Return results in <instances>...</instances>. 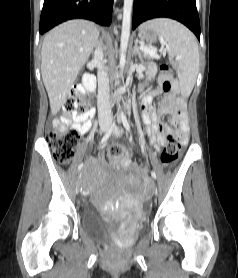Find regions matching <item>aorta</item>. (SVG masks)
Masks as SVG:
<instances>
[{"mask_svg": "<svg viewBox=\"0 0 238 278\" xmlns=\"http://www.w3.org/2000/svg\"><path fill=\"white\" fill-rule=\"evenodd\" d=\"M134 0H124L123 19H122V33L120 41V69L123 71L126 62V50L130 37L131 29V13Z\"/></svg>", "mask_w": 238, "mask_h": 278, "instance_id": "762f6f07", "label": "aorta"}]
</instances>
